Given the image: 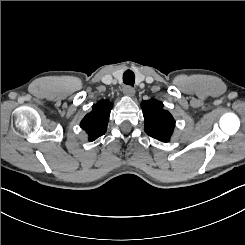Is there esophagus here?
<instances>
[{
	"instance_id": "obj_1",
	"label": "esophagus",
	"mask_w": 245,
	"mask_h": 245,
	"mask_svg": "<svg viewBox=\"0 0 245 245\" xmlns=\"http://www.w3.org/2000/svg\"><path fill=\"white\" fill-rule=\"evenodd\" d=\"M123 92L126 96L133 98L135 96V90L133 89V87L130 86H125L123 89Z\"/></svg>"
}]
</instances>
